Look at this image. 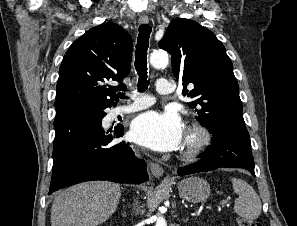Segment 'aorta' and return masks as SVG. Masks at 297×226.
<instances>
[{"label":"aorta","mask_w":297,"mask_h":226,"mask_svg":"<svg viewBox=\"0 0 297 226\" xmlns=\"http://www.w3.org/2000/svg\"><path fill=\"white\" fill-rule=\"evenodd\" d=\"M168 54L164 51H155L150 55V64L155 68H161L168 64ZM155 226H167L165 218L158 215Z\"/></svg>","instance_id":"762f6f07"}]
</instances>
